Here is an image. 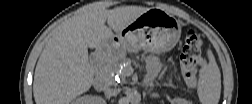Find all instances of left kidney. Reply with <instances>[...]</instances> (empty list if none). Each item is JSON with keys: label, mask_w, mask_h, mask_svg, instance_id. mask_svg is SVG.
<instances>
[{"label": "left kidney", "mask_w": 252, "mask_h": 104, "mask_svg": "<svg viewBox=\"0 0 252 104\" xmlns=\"http://www.w3.org/2000/svg\"><path fill=\"white\" fill-rule=\"evenodd\" d=\"M175 102L177 104H186L187 103V101L185 99H181V98H176Z\"/></svg>", "instance_id": "obj_1"}]
</instances>
